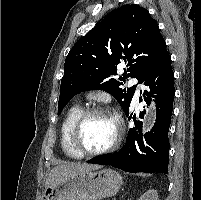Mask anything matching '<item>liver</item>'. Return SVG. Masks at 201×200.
<instances>
[{
  "label": "liver",
  "instance_id": "obj_1",
  "mask_svg": "<svg viewBox=\"0 0 201 200\" xmlns=\"http://www.w3.org/2000/svg\"><path fill=\"white\" fill-rule=\"evenodd\" d=\"M98 168L99 166L97 165H89L81 163H67L55 166L54 168H52L51 172L49 173L46 179L45 187L50 185L55 180L60 179L64 176L83 171H92Z\"/></svg>",
  "mask_w": 201,
  "mask_h": 200
}]
</instances>
